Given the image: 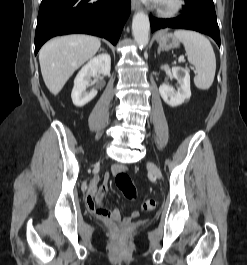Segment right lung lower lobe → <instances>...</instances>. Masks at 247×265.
Instances as JSON below:
<instances>
[{"mask_svg": "<svg viewBox=\"0 0 247 265\" xmlns=\"http://www.w3.org/2000/svg\"><path fill=\"white\" fill-rule=\"evenodd\" d=\"M131 11V0H42L35 54L50 38L71 33L104 37L115 45Z\"/></svg>", "mask_w": 247, "mask_h": 265, "instance_id": "right-lung-lower-lobe-1", "label": "right lung lower lobe"}]
</instances>
